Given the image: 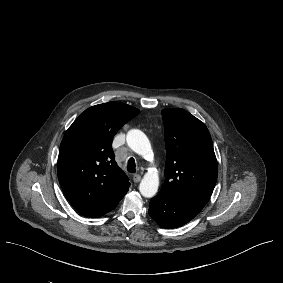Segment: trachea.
Returning <instances> with one entry per match:
<instances>
[{"instance_id":"1","label":"trachea","mask_w":283,"mask_h":283,"mask_svg":"<svg viewBox=\"0 0 283 283\" xmlns=\"http://www.w3.org/2000/svg\"><path fill=\"white\" fill-rule=\"evenodd\" d=\"M127 170H128V172H130V173H135V172H136V164H135L134 158H130V159L128 160V163H127Z\"/></svg>"}]
</instances>
